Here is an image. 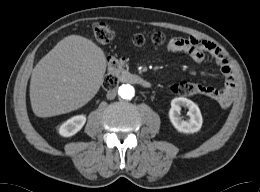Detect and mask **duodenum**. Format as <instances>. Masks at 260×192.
<instances>
[{
    "label": "duodenum",
    "instance_id": "duodenum-1",
    "mask_svg": "<svg viewBox=\"0 0 260 192\" xmlns=\"http://www.w3.org/2000/svg\"><path fill=\"white\" fill-rule=\"evenodd\" d=\"M115 76L118 82L139 85L145 88H149L151 86L150 82L141 75L130 73L125 69H118L115 72Z\"/></svg>",
    "mask_w": 260,
    "mask_h": 192
}]
</instances>
